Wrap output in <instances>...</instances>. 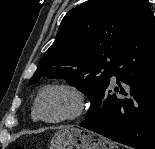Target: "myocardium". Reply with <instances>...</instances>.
Returning a JSON list of instances; mask_svg holds the SVG:
<instances>
[{
  "mask_svg": "<svg viewBox=\"0 0 155 149\" xmlns=\"http://www.w3.org/2000/svg\"><path fill=\"white\" fill-rule=\"evenodd\" d=\"M51 90H61L69 93L74 99V107L71 113L66 116L55 118V119H48L44 117L40 112V101L42 97ZM86 108V99L85 95L80 88L77 86L65 83V82H57L45 85L37 94L35 101L33 103V114L36 116L38 120H41L45 123L49 124H60L71 122L79 119L83 113L85 112Z\"/></svg>",
  "mask_w": 155,
  "mask_h": 149,
  "instance_id": "myocardium-1",
  "label": "myocardium"
}]
</instances>
